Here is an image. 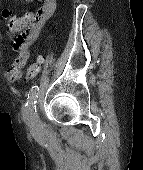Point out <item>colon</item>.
Instances as JSON below:
<instances>
[{"label":"colon","instance_id":"5ec220e1","mask_svg":"<svg viewBox=\"0 0 143 170\" xmlns=\"http://www.w3.org/2000/svg\"><path fill=\"white\" fill-rule=\"evenodd\" d=\"M32 15H33L32 13H27L25 15V17L30 18V17H32ZM5 17L8 20L10 16H9V14L6 13ZM8 25H10L12 27H21V26H23L21 23L15 22L13 20L8 21ZM42 63H43V57L38 56L36 58L35 62L33 64H31L30 67L27 70V77H26L27 80H32L33 78H35L39 74V72L41 70Z\"/></svg>","mask_w":143,"mask_h":170}]
</instances>
